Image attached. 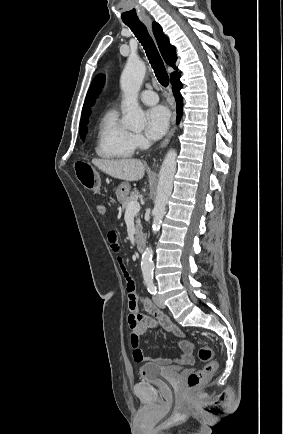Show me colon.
I'll list each match as a JSON object with an SVG mask.
<instances>
[{"instance_id": "colon-1", "label": "colon", "mask_w": 283, "mask_h": 434, "mask_svg": "<svg viewBox=\"0 0 283 434\" xmlns=\"http://www.w3.org/2000/svg\"><path fill=\"white\" fill-rule=\"evenodd\" d=\"M76 175L79 182L88 190L99 192L101 189V181L97 172L87 163L79 162L75 165ZM201 361L205 362V366L199 370L192 372L187 377V387L190 390H195L206 383L217 371L218 364L213 359V350L204 346L198 352Z\"/></svg>"}]
</instances>
